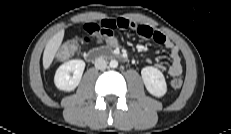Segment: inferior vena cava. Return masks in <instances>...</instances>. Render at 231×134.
<instances>
[{
  "mask_svg": "<svg viewBox=\"0 0 231 134\" xmlns=\"http://www.w3.org/2000/svg\"><path fill=\"white\" fill-rule=\"evenodd\" d=\"M107 67V62L102 57H99L95 60V68L103 70Z\"/></svg>",
  "mask_w": 231,
  "mask_h": 134,
  "instance_id": "1",
  "label": "inferior vena cava"
}]
</instances>
